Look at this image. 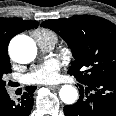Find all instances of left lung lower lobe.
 Listing matches in <instances>:
<instances>
[{
	"label": "left lung lower lobe",
	"instance_id": "0a47b994",
	"mask_svg": "<svg viewBox=\"0 0 116 116\" xmlns=\"http://www.w3.org/2000/svg\"><path fill=\"white\" fill-rule=\"evenodd\" d=\"M79 82V100L64 107L65 116H116V78Z\"/></svg>",
	"mask_w": 116,
	"mask_h": 116
}]
</instances>
